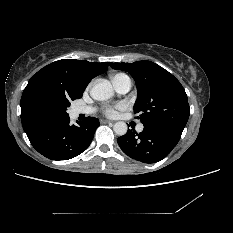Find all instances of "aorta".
Wrapping results in <instances>:
<instances>
[{"label":"aorta","mask_w":233,"mask_h":233,"mask_svg":"<svg viewBox=\"0 0 233 233\" xmlns=\"http://www.w3.org/2000/svg\"><path fill=\"white\" fill-rule=\"evenodd\" d=\"M113 93L112 85L108 80L97 82L90 90L91 97L98 101L110 99ZM113 130L118 136H123L127 133L128 127L125 122L119 121L114 124Z\"/></svg>","instance_id":"1"}]
</instances>
